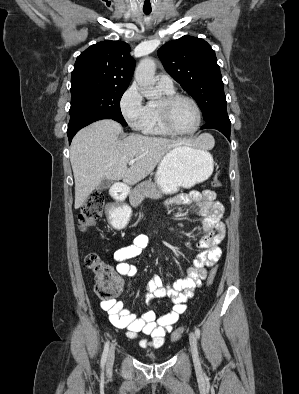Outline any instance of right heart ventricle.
<instances>
[{
  "label": "right heart ventricle",
  "instance_id": "e07e8e85",
  "mask_svg": "<svg viewBox=\"0 0 299 394\" xmlns=\"http://www.w3.org/2000/svg\"><path fill=\"white\" fill-rule=\"evenodd\" d=\"M160 91L164 96H169L175 94L174 88L168 89L159 86ZM148 107V115L146 121L143 126V132L148 135H156V136H166L171 135L167 132L161 124L159 113H158V104L154 102H149L147 104Z\"/></svg>",
  "mask_w": 299,
  "mask_h": 394
}]
</instances>
